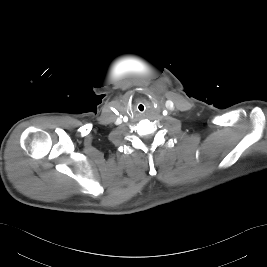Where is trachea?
I'll list each match as a JSON object with an SVG mask.
<instances>
[{"mask_svg": "<svg viewBox=\"0 0 267 267\" xmlns=\"http://www.w3.org/2000/svg\"><path fill=\"white\" fill-rule=\"evenodd\" d=\"M138 110L143 113L145 111L144 106L142 104L138 105Z\"/></svg>", "mask_w": 267, "mask_h": 267, "instance_id": "1", "label": "trachea"}]
</instances>
